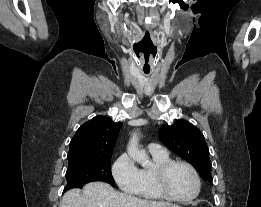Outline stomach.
<instances>
[{
  "instance_id": "0dacf381",
  "label": "stomach",
  "mask_w": 261,
  "mask_h": 207,
  "mask_svg": "<svg viewBox=\"0 0 261 207\" xmlns=\"http://www.w3.org/2000/svg\"><path fill=\"white\" fill-rule=\"evenodd\" d=\"M167 207H181V206L176 205V204H169Z\"/></svg>"
}]
</instances>
